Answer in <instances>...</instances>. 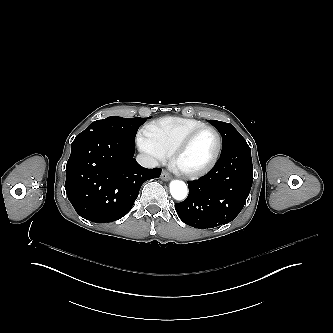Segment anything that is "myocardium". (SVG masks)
Wrapping results in <instances>:
<instances>
[{"label": "myocardium", "instance_id": "1", "mask_svg": "<svg viewBox=\"0 0 333 333\" xmlns=\"http://www.w3.org/2000/svg\"><path fill=\"white\" fill-rule=\"evenodd\" d=\"M203 130H210L213 132V134L216 137L217 140V148L215 151V154L213 156V158L210 160V162L205 165L204 167H201L199 169L196 170H190V171H185V170H180L175 166V162L176 159L180 156V154L188 147V145L190 144V142L192 141V139L201 131ZM221 151H222V138L219 134V132L210 125H203L200 127H197L195 129H192L191 131H189L188 133H186L179 141L178 143L174 146V148L172 149L170 155H169V159H168V166L169 168L178 176L184 177V178H188V179H196V178H200L204 175H206L207 173H209L217 164L220 155H221Z\"/></svg>", "mask_w": 333, "mask_h": 333}]
</instances>
